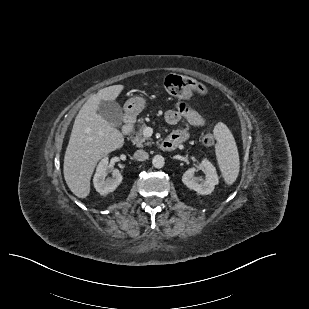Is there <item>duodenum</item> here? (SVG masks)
Listing matches in <instances>:
<instances>
[{
	"mask_svg": "<svg viewBox=\"0 0 309 309\" xmlns=\"http://www.w3.org/2000/svg\"><path fill=\"white\" fill-rule=\"evenodd\" d=\"M134 124V117L130 114L124 116L122 125V134L128 135L132 131ZM179 140L175 138L168 137L160 143V148L164 151L174 150L179 144Z\"/></svg>",
	"mask_w": 309,
	"mask_h": 309,
	"instance_id": "duodenum-1",
	"label": "duodenum"
}]
</instances>
